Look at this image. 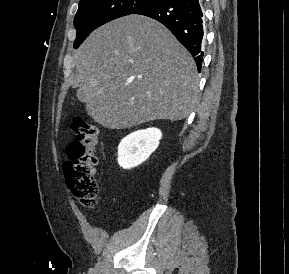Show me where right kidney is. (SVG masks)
Segmentation results:
<instances>
[{"mask_svg":"<svg viewBox=\"0 0 289 274\" xmlns=\"http://www.w3.org/2000/svg\"><path fill=\"white\" fill-rule=\"evenodd\" d=\"M162 132L158 128L135 131L123 138L118 146V164L124 169L134 168L157 149Z\"/></svg>","mask_w":289,"mask_h":274,"instance_id":"1","label":"right kidney"}]
</instances>
